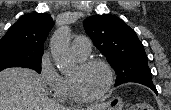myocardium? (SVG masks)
Here are the masks:
<instances>
[{"instance_id":"1","label":"myocardium","mask_w":171,"mask_h":110,"mask_svg":"<svg viewBox=\"0 0 171 110\" xmlns=\"http://www.w3.org/2000/svg\"><path fill=\"white\" fill-rule=\"evenodd\" d=\"M93 65H100L106 70V72L108 74L107 84H106L104 90L102 92H100L99 94L94 95V96H86V95H83L79 91L76 83L69 77L68 81H69L71 96L75 101H77L79 103H92V102L101 100L111 91V89L113 87L114 71H113L112 66L107 61L102 60V59H94V58L81 60L78 67H79V69L84 70Z\"/></svg>"}]
</instances>
